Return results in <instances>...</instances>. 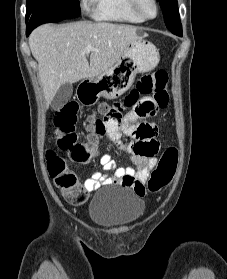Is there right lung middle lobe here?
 Wrapping results in <instances>:
<instances>
[{
    "instance_id": "right-lung-middle-lobe-1",
    "label": "right lung middle lobe",
    "mask_w": 227,
    "mask_h": 279,
    "mask_svg": "<svg viewBox=\"0 0 227 279\" xmlns=\"http://www.w3.org/2000/svg\"><path fill=\"white\" fill-rule=\"evenodd\" d=\"M26 22L40 16L69 19L80 15L79 0H26Z\"/></svg>"
}]
</instances>
